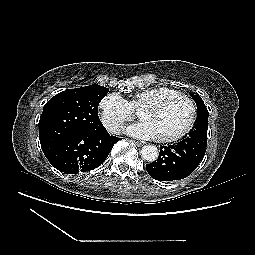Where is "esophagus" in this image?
<instances>
[{"label":"esophagus","instance_id":"34e87169","mask_svg":"<svg viewBox=\"0 0 255 255\" xmlns=\"http://www.w3.org/2000/svg\"><path fill=\"white\" fill-rule=\"evenodd\" d=\"M132 142H133L136 146H138V147L143 146V144H142L141 142H139V141L132 140Z\"/></svg>","mask_w":255,"mask_h":255}]
</instances>
